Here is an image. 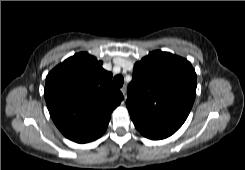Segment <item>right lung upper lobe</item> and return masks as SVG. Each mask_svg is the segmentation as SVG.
Instances as JSON below:
<instances>
[{
    "instance_id": "right-lung-upper-lobe-1",
    "label": "right lung upper lobe",
    "mask_w": 245,
    "mask_h": 170,
    "mask_svg": "<svg viewBox=\"0 0 245 170\" xmlns=\"http://www.w3.org/2000/svg\"><path fill=\"white\" fill-rule=\"evenodd\" d=\"M112 73L88 53H78L46 77L44 96L55 125L68 139L87 143L101 137L112 111L123 100Z\"/></svg>"
}]
</instances>
